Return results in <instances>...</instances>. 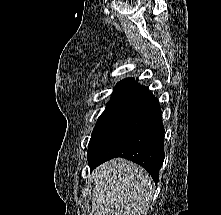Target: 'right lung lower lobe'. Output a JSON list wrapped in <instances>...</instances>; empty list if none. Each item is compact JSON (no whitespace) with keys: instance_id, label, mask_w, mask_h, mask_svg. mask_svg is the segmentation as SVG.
<instances>
[{"instance_id":"1","label":"right lung lower lobe","mask_w":221,"mask_h":215,"mask_svg":"<svg viewBox=\"0 0 221 215\" xmlns=\"http://www.w3.org/2000/svg\"><path fill=\"white\" fill-rule=\"evenodd\" d=\"M115 157L139 164L157 183L164 161V127L158 100L152 93L130 103L88 156V164L92 170Z\"/></svg>"}]
</instances>
